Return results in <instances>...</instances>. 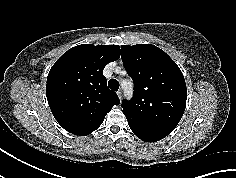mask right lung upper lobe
<instances>
[{
	"label": "right lung upper lobe",
	"mask_w": 236,
	"mask_h": 178,
	"mask_svg": "<svg viewBox=\"0 0 236 178\" xmlns=\"http://www.w3.org/2000/svg\"><path fill=\"white\" fill-rule=\"evenodd\" d=\"M120 53L118 45L82 44L69 49L52 66L47 77V100L55 119L66 131L89 135L120 103L102 74Z\"/></svg>",
	"instance_id": "cb5924a9"
}]
</instances>
